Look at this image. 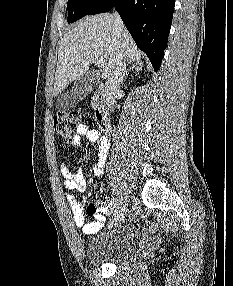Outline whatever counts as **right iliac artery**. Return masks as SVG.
<instances>
[{
    "instance_id": "1",
    "label": "right iliac artery",
    "mask_w": 233,
    "mask_h": 286,
    "mask_svg": "<svg viewBox=\"0 0 233 286\" xmlns=\"http://www.w3.org/2000/svg\"><path fill=\"white\" fill-rule=\"evenodd\" d=\"M119 199L118 198H114L113 200H112V202H111V205H110V209H111V211H116V209H117V207H118V205H119Z\"/></svg>"
}]
</instances>
